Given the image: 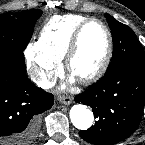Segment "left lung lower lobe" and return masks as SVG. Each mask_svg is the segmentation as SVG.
Returning <instances> with one entry per match:
<instances>
[{
    "label": "left lung lower lobe",
    "mask_w": 145,
    "mask_h": 145,
    "mask_svg": "<svg viewBox=\"0 0 145 145\" xmlns=\"http://www.w3.org/2000/svg\"><path fill=\"white\" fill-rule=\"evenodd\" d=\"M75 101L92 108L95 124L79 131L94 145H113L138 127L145 105V71L125 67L105 74L96 84L77 95Z\"/></svg>",
    "instance_id": "obj_1"
}]
</instances>
